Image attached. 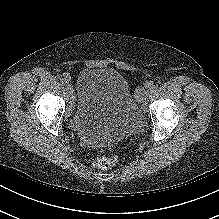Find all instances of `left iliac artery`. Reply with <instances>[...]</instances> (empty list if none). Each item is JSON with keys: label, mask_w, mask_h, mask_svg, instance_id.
<instances>
[{"label": "left iliac artery", "mask_w": 219, "mask_h": 219, "mask_svg": "<svg viewBox=\"0 0 219 219\" xmlns=\"http://www.w3.org/2000/svg\"><path fill=\"white\" fill-rule=\"evenodd\" d=\"M145 87L149 88L150 92H154V91H156L158 89V85L157 84L146 83Z\"/></svg>", "instance_id": "left-iliac-artery-1"}]
</instances>
